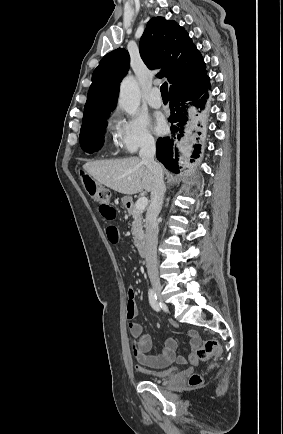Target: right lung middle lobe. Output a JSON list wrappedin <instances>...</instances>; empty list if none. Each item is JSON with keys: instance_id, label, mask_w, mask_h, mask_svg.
I'll list each match as a JSON object with an SVG mask.
<instances>
[{"instance_id": "obj_1", "label": "right lung middle lobe", "mask_w": 283, "mask_h": 434, "mask_svg": "<svg viewBox=\"0 0 283 434\" xmlns=\"http://www.w3.org/2000/svg\"><path fill=\"white\" fill-rule=\"evenodd\" d=\"M109 115L100 121L81 127L79 142L81 148L87 153H93L102 147L104 142V130Z\"/></svg>"}]
</instances>
